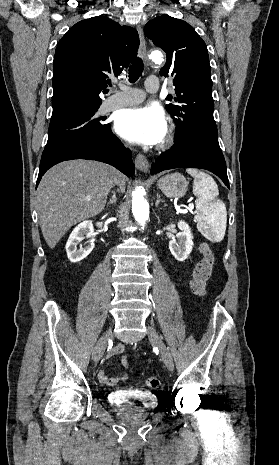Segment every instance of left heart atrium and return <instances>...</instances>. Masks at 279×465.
<instances>
[{"label": "left heart atrium", "mask_w": 279, "mask_h": 465, "mask_svg": "<svg viewBox=\"0 0 279 465\" xmlns=\"http://www.w3.org/2000/svg\"><path fill=\"white\" fill-rule=\"evenodd\" d=\"M115 128L128 141L156 145L167 133V122L160 108L137 107L122 111L116 119Z\"/></svg>", "instance_id": "left-heart-atrium-1"}]
</instances>
